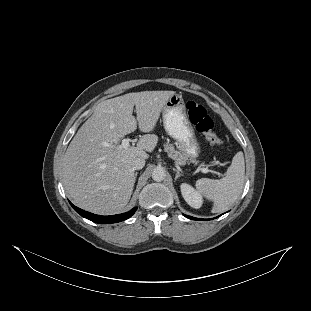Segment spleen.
Listing matches in <instances>:
<instances>
[{
	"label": "spleen",
	"mask_w": 311,
	"mask_h": 311,
	"mask_svg": "<svg viewBox=\"0 0 311 311\" xmlns=\"http://www.w3.org/2000/svg\"><path fill=\"white\" fill-rule=\"evenodd\" d=\"M245 178V162L242 151L235 154L225 177L219 180L201 178L196 189L208 200L214 201L213 213H219L232 206L242 193Z\"/></svg>",
	"instance_id": "spleen-1"
}]
</instances>
